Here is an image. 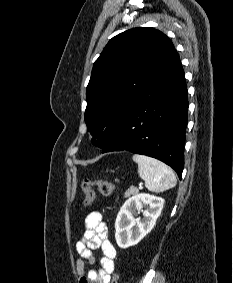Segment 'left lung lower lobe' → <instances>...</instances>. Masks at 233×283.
I'll use <instances>...</instances> for the list:
<instances>
[{
  "label": "left lung lower lobe",
  "mask_w": 233,
  "mask_h": 283,
  "mask_svg": "<svg viewBox=\"0 0 233 283\" xmlns=\"http://www.w3.org/2000/svg\"><path fill=\"white\" fill-rule=\"evenodd\" d=\"M188 98L174 48L148 79L130 115L104 152L127 150L159 159L181 179Z\"/></svg>",
  "instance_id": "1"
}]
</instances>
